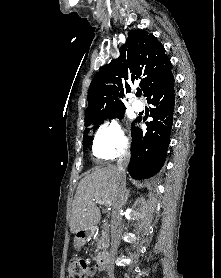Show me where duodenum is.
<instances>
[{
  "mask_svg": "<svg viewBox=\"0 0 221 278\" xmlns=\"http://www.w3.org/2000/svg\"><path fill=\"white\" fill-rule=\"evenodd\" d=\"M91 234H92L91 230H88V229L81 230L78 235V241L80 243L86 242L87 239L91 236ZM108 259H109V256L107 253H99L96 257V268L98 270L105 269L108 264Z\"/></svg>",
  "mask_w": 221,
  "mask_h": 278,
  "instance_id": "410a0bca",
  "label": "duodenum"
}]
</instances>
